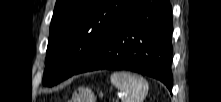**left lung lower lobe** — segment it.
<instances>
[{"instance_id":"obj_1","label":"left lung lower lobe","mask_w":221,"mask_h":102,"mask_svg":"<svg viewBox=\"0 0 221 102\" xmlns=\"http://www.w3.org/2000/svg\"><path fill=\"white\" fill-rule=\"evenodd\" d=\"M172 32L169 0H131L73 75L102 69L130 70L160 80L172 92Z\"/></svg>"}]
</instances>
